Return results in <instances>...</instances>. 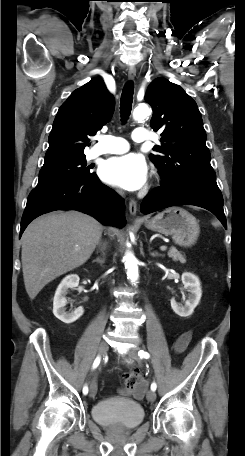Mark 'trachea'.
<instances>
[{
	"mask_svg": "<svg viewBox=\"0 0 245 456\" xmlns=\"http://www.w3.org/2000/svg\"><path fill=\"white\" fill-rule=\"evenodd\" d=\"M134 85L133 83L127 82L124 85L121 99H120V113L122 122L125 123L130 115L133 101Z\"/></svg>",
	"mask_w": 245,
	"mask_h": 456,
	"instance_id": "3493384b",
	"label": "trachea"
}]
</instances>
